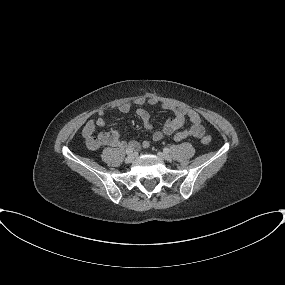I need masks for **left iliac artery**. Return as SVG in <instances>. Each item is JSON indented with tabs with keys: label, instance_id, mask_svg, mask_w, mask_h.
<instances>
[{
	"label": "left iliac artery",
	"instance_id": "44dca946",
	"mask_svg": "<svg viewBox=\"0 0 285 285\" xmlns=\"http://www.w3.org/2000/svg\"><path fill=\"white\" fill-rule=\"evenodd\" d=\"M163 151H164L165 153H168L170 150H169V148H164Z\"/></svg>",
	"mask_w": 285,
	"mask_h": 285
}]
</instances>
